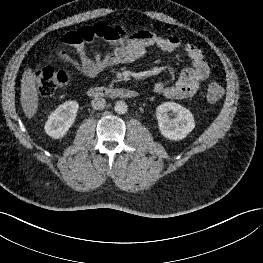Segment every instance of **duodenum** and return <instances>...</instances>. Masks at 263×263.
Returning a JSON list of instances; mask_svg holds the SVG:
<instances>
[{"label": "duodenum", "instance_id": "410a0bca", "mask_svg": "<svg viewBox=\"0 0 263 263\" xmlns=\"http://www.w3.org/2000/svg\"><path fill=\"white\" fill-rule=\"evenodd\" d=\"M88 96L91 98H123V99H135L138 97V93L128 88H109L103 86L91 87L87 91Z\"/></svg>", "mask_w": 263, "mask_h": 263}]
</instances>
